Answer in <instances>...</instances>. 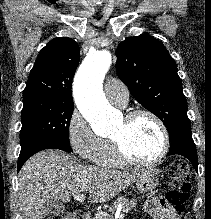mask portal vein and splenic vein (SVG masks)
<instances>
[{
	"instance_id": "obj_1",
	"label": "portal vein and splenic vein",
	"mask_w": 211,
	"mask_h": 219,
	"mask_svg": "<svg viewBox=\"0 0 211 219\" xmlns=\"http://www.w3.org/2000/svg\"><path fill=\"white\" fill-rule=\"evenodd\" d=\"M74 200H77L79 202H83L85 200V195L84 194H77L74 195ZM125 215L124 214H120L118 216V219H124Z\"/></svg>"
}]
</instances>
